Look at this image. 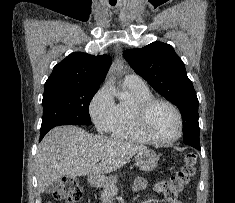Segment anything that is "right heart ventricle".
Masks as SVG:
<instances>
[{
    "label": "right heart ventricle",
    "instance_id": "1",
    "mask_svg": "<svg viewBox=\"0 0 235 203\" xmlns=\"http://www.w3.org/2000/svg\"><path fill=\"white\" fill-rule=\"evenodd\" d=\"M124 87L130 92L131 99L122 100L115 104V111L108 132L115 138L150 142L136 125L134 106L137 102L149 99L153 95L146 86L137 87L124 83Z\"/></svg>",
    "mask_w": 235,
    "mask_h": 203
}]
</instances>
